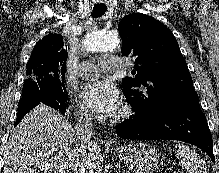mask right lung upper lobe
<instances>
[{
  "mask_svg": "<svg viewBox=\"0 0 219 173\" xmlns=\"http://www.w3.org/2000/svg\"><path fill=\"white\" fill-rule=\"evenodd\" d=\"M63 37L59 34H48L33 48L29 62L59 65L66 68L67 52L63 49Z\"/></svg>",
  "mask_w": 219,
  "mask_h": 173,
  "instance_id": "right-lung-upper-lobe-1",
  "label": "right lung upper lobe"
}]
</instances>
